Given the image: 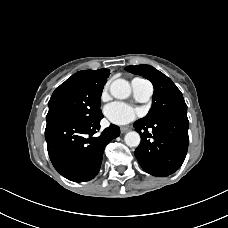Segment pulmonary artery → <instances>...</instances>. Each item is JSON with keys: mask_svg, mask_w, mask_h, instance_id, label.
Returning <instances> with one entry per match:
<instances>
[{"mask_svg": "<svg viewBox=\"0 0 228 228\" xmlns=\"http://www.w3.org/2000/svg\"><path fill=\"white\" fill-rule=\"evenodd\" d=\"M132 88L136 98L140 101H147L153 94L152 84L144 79H133Z\"/></svg>", "mask_w": 228, "mask_h": 228, "instance_id": "pulmonary-artery-1", "label": "pulmonary artery"}]
</instances>
